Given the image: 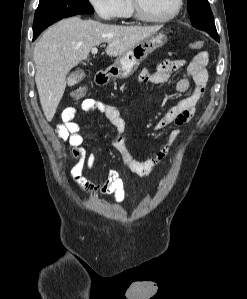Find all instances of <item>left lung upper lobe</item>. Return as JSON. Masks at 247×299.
Returning a JSON list of instances; mask_svg holds the SVG:
<instances>
[{"instance_id":"obj_1","label":"left lung upper lobe","mask_w":247,"mask_h":299,"mask_svg":"<svg viewBox=\"0 0 247 299\" xmlns=\"http://www.w3.org/2000/svg\"><path fill=\"white\" fill-rule=\"evenodd\" d=\"M191 24L210 35H218L208 0H188Z\"/></svg>"}]
</instances>
